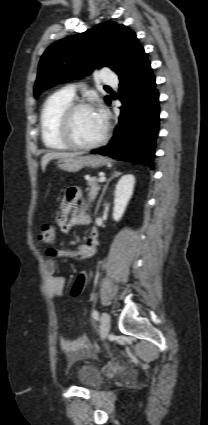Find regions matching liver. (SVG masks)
Wrapping results in <instances>:
<instances>
[{
  "label": "liver",
  "mask_w": 208,
  "mask_h": 425,
  "mask_svg": "<svg viewBox=\"0 0 208 425\" xmlns=\"http://www.w3.org/2000/svg\"><path fill=\"white\" fill-rule=\"evenodd\" d=\"M81 153L79 152H75V153H66V152H49L46 153L42 159H41V167H42V171H45V168L47 166V164L52 160V159H61V158H68V157H77L79 156Z\"/></svg>",
  "instance_id": "liver-1"
}]
</instances>
